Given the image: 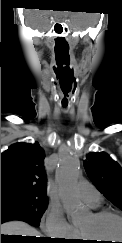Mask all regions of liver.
Returning a JSON list of instances; mask_svg holds the SVG:
<instances>
[{
	"label": "liver",
	"instance_id": "obj_1",
	"mask_svg": "<svg viewBox=\"0 0 122 243\" xmlns=\"http://www.w3.org/2000/svg\"><path fill=\"white\" fill-rule=\"evenodd\" d=\"M1 234L42 237L41 233L38 232L35 228L21 221H10L1 224Z\"/></svg>",
	"mask_w": 122,
	"mask_h": 243
}]
</instances>
